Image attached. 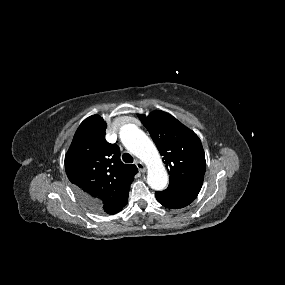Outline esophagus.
Instances as JSON below:
<instances>
[{
	"mask_svg": "<svg viewBox=\"0 0 285 285\" xmlns=\"http://www.w3.org/2000/svg\"><path fill=\"white\" fill-rule=\"evenodd\" d=\"M135 164H136V166H137V168H138V170H139L140 172H142V173L146 172V167H145V165H144L143 162L137 160V161L135 162Z\"/></svg>",
	"mask_w": 285,
	"mask_h": 285,
	"instance_id": "esophagus-1",
	"label": "esophagus"
}]
</instances>
